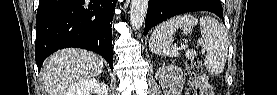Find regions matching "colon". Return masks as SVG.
Returning a JSON list of instances; mask_svg holds the SVG:
<instances>
[{
	"mask_svg": "<svg viewBox=\"0 0 277 95\" xmlns=\"http://www.w3.org/2000/svg\"><path fill=\"white\" fill-rule=\"evenodd\" d=\"M203 71V63L202 60L200 58H194L191 59L190 61H188L186 63L185 66V72H186V77L187 78H193L196 75L201 74ZM187 94H194L193 92H188Z\"/></svg>",
	"mask_w": 277,
	"mask_h": 95,
	"instance_id": "5ec220e1",
	"label": "colon"
}]
</instances>
